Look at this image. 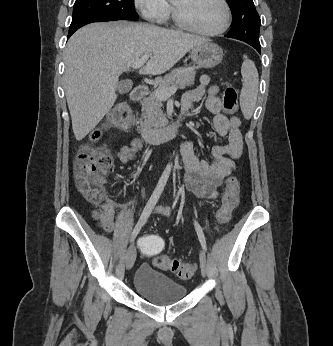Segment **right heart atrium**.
<instances>
[{"instance_id":"1","label":"right heart atrium","mask_w":333,"mask_h":346,"mask_svg":"<svg viewBox=\"0 0 333 346\" xmlns=\"http://www.w3.org/2000/svg\"><path fill=\"white\" fill-rule=\"evenodd\" d=\"M135 7L149 21H164L171 12L167 0H134Z\"/></svg>"}]
</instances>
